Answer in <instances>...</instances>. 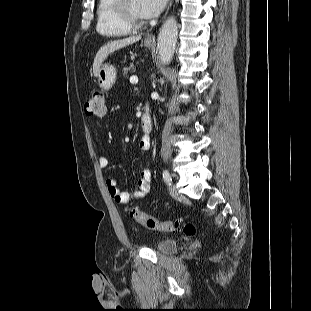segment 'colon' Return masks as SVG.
<instances>
[{
  "label": "colon",
  "mask_w": 311,
  "mask_h": 311,
  "mask_svg": "<svg viewBox=\"0 0 311 311\" xmlns=\"http://www.w3.org/2000/svg\"><path fill=\"white\" fill-rule=\"evenodd\" d=\"M85 112L87 115L95 117H103L106 115L107 103L103 91L93 90L90 93L89 98L85 103ZM128 214L137 223L151 230H157L161 232H173L182 228L183 232L189 236L193 235L196 231L195 226L190 222L182 225L180 220L165 222L159 221L155 217L135 207H129Z\"/></svg>",
  "instance_id": "obj_1"
}]
</instances>
